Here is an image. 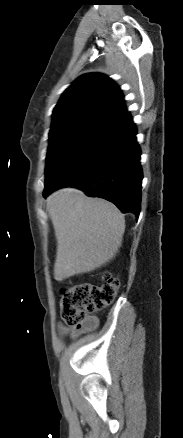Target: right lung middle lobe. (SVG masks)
<instances>
[{
  "label": "right lung middle lobe",
  "mask_w": 183,
  "mask_h": 438,
  "mask_svg": "<svg viewBox=\"0 0 183 438\" xmlns=\"http://www.w3.org/2000/svg\"><path fill=\"white\" fill-rule=\"evenodd\" d=\"M97 128L80 126L50 133L46 157L45 186L71 161Z\"/></svg>",
  "instance_id": "right-lung-middle-lobe-1"
}]
</instances>
